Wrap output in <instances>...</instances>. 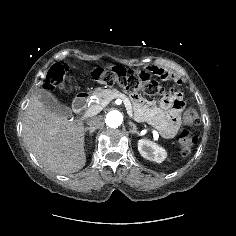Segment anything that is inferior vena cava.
I'll use <instances>...</instances> for the list:
<instances>
[{"label":"inferior vena cava","instance_id":"602c4592","mask_svg":"<svg viewBox=\"0 0 236 236\" xmlns=\"http://www.w3.org/2000/svg\"><path fill=\"white\" fill-rule=\"evenodd\" d=\"M102 123V116H94V117H91L87 120V125L90 127V128H99V126L101 125Z\"/></svg>","mask_w":236,"mask_h":236}]
</instances>
